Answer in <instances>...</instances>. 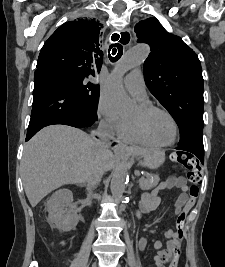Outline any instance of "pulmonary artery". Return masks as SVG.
<instances>
[{
    "mask_svg": "<svg viewBox=\"0 0 225 267\" xmlns=\"http://www.w3.org/2000/svg\"><path fill=\"white\" fill-rule=\"evenodd\" d=\"M126 89L140 102H145L147 99L145 82L142 72L139 69H135L130 72L123 79Z\"/></svg>",
    "mask_w": 225,
    "mask_h": 267,
    "instance_id": "1",
    "label": "pulmonary artery"
}]
</instances>
